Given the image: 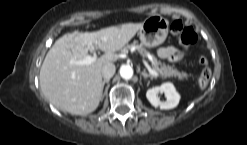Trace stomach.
Listing matches in <instances>:
<instances>
[{
	"label": "stomach",
	"mask_w": 247,
	"mask_h": 145,
	"mask_svg": "<svg viewBox=\"0 0 247 145\" xmlns=\"http://www.w3.org/2000/svg\"><path fill=\"white\" fill-rule=\"evenodd\" d=\"M169 21L160 15L146 18L139 30V39L144 48H154L162 44L167 38Z\"/></svg>",
	"instance_id": "1"
}]
</instances>
